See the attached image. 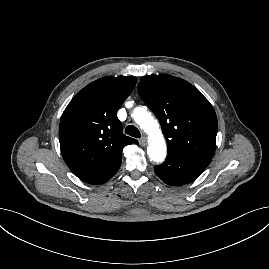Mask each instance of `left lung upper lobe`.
<instances>
[{
  "label": "left lung upper lobe",
  "instance_id": "left-lung-upper-lobe-1",
  "mask_svg": "<svg viewBox=\"0 0 269 269\" xmlns=\"http://www.w3.org/2000/svg\"><path fill=\"white\" fill-rule=\"evenodd\" d=\"M138 92L160 121L168 151L213 157L217 117L199 90L177 77L149 75L141 77Z\"/></svg>",
  "mask_w": 269,
  "mask_h": 269
}]
</instances>
